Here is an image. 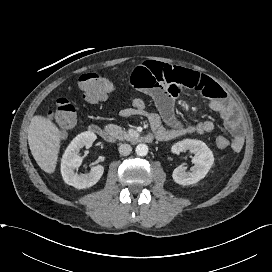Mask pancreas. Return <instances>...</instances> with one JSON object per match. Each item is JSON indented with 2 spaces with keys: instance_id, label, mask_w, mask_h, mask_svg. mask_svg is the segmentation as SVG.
I'll return each mask as SVG.
<instances>
[{
  "instance_id": "cf45deb5",
  "label": "pancreas",
  "mask_w": 272,
  "mask_h": 272,
  "mask_svg": "<svg viewBox=\"0 0 272 272\" xmlns=\"http://www.w3.org/2000/svg\"><path fill=\"white\" fill-rule=\"evenodd\" d=\"M105 130L113 139L130 140V135L124 129L115 124L106 125Z\"/></svg>"
}]
</instances>
